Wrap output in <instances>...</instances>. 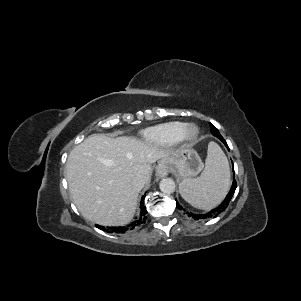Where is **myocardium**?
I'll return each mask as SVG.
<instances>
[{
	"instance_id": "1",
	"label": "myocardium",
	"mask_w": 301,
	"mask_h": 301,
	"mask_svg": "<svg viewBox=\"0 0 301 301\" xmlns=\"http://www.w3.org/2000/svg\"><path fill=\"white\" fill-rule=\"evenodd\" d=\"M200 136V128L195 124L187 125L180 136L179 142L185 145L194 144Z\"/></svg>"
}]
</instances>
